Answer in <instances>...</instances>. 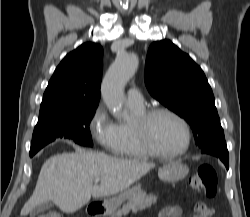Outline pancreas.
<instances>
[{
	"label": "pancreas",
	"instance_id": "pancreas-1",
	"mask_svg": "<svg viewBox=\"0 0 250 217\" xmlns=\"http://www.w3.org/2000/svg\"><path fill=\"white\" fill-rule=\"evenodd\" d=\"M157 202V197L152 194L147 195L146 192L139 191L132 195L126 204L121 209L111 214V217H121L128 214L130 211L136 213L150 207Z\"/></svg>",
	"mask_w": 250,
	"mask_h": 217
}]
</instances>
